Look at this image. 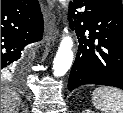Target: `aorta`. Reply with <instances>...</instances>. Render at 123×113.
Returning a JSON list of instances; mask_svg holds the SVG:
<instances>
[{"instance_id": "obj_1", "label": "aorta", "mask_w": 123, "mask_h": 113, "mask_svg": "<svg viewBox=\"0 0 123 113\" xmlns=\"http://www.w3.org/2000/svg\"><path fill=\"white\" fill-rule=\"evenodd\" d=\"M68 33L67 29H64ZM73 41L68 35H64L53 61V75L55 77L64 76L70 69L73 61Z\"/></svg>"}]
</instances>
